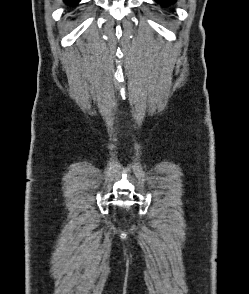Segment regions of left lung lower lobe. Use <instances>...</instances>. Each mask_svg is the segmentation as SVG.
<instances>
[{"instance_id": "left-lung-lower-lobe-1", "label": "left lung lower lobe", "mask_w": 249, "mask_h": 294, "mask_svg": "<svg viewBox=\"0 0 249 294\" xmlns=\"http://www.w3.org/2000/svg\"><path fill=\"white\" fill-rule=\"evenodd\" d=\"M156 1L163 6H166V5H170L174 3L176 0H156Z\"/></svg>"}]
</instances>
